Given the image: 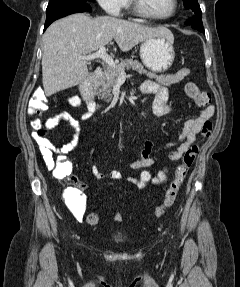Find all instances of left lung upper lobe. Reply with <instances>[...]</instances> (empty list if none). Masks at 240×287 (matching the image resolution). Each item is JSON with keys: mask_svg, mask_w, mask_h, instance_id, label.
Here are the masks:
<instances>
[{"mask_svg": "<svg viewBox=\"0 0 240 287\" xmlns=\"http://www.w3.org/2000/svg\"><path fill=\"white\" fill-rule=\"evenodd\" d=\"M184 6L187 9H192L193 11L201 10L197 0H183Z\"/></svg>", "mask_w": 240, "mask_h": 287, "instance_id": "1", "label": "left lung upper lobe"}]
</instances>
